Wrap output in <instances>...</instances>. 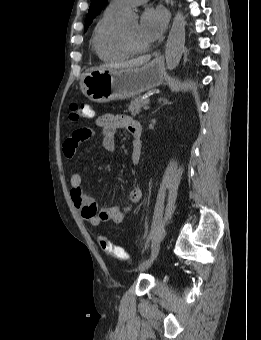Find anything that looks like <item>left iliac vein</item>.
Returning a JSON list of instances; mask_svg holds the SVG:
<instances>
[{"label": "left iliac vein", "mask_w": 261, "mask_h": 340, "mask_svg": "<svg viewBox=\"0 0 261 340\" xmlns=\"http://www.w3.org/2000/svg\"><path fill=\"white\" fill-rule=\"evenodd\" d=\"M156 257H150L148 259H146L145 261H143L139 267H138V271H144L146 269H148L154 262Z\"/></svg>", "instance_id": "1"}]
</instances>
